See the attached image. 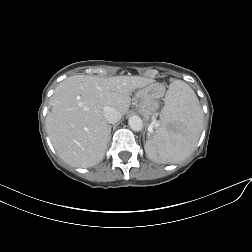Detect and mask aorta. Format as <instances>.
I'll return each mask as SVG.
<instances>
[{
	"mask_svg": "<svg viewBox=\"0 0 252 252\" xmlns=\"http://www.w3.org/2000/svg\"><path fill=\"white\" fill-rule=\"evenodd\" d=\"M128 125L133 131H140L143 127V122L139 116H131L128 120Z\"/></svg>",
	"mask_w": 252,
	"mask_h": 252,
	"instance_id": "762f6f07",
	"label": "aorta"
}]
</instances>
